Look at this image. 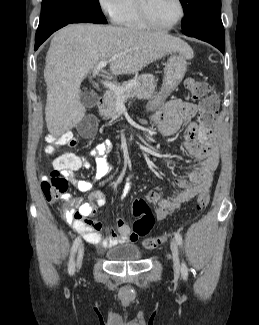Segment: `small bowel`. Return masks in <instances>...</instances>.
Segmentation results:
<instances>
[{
    "instance_id": "small-bowel-1",
    "label": "small bowel",
    "mask_w": 259,
    "mask_h": 325,
    "mask_svg": "<svg viewBox=\"0 0 259 325\" xmlns=\"http://www.w3.org/2000/svg\"><path fill=\"white\" fill-rule=\"evenodd\" d=\"M205 110L182 99H172L163 107L152 114V120L157 125L159 133L164 137L176 135L182 128L186 129L185 148L189 156L200 161V165L191 171L187 178H178L175 184L180 192L164 198L160 193L152 191L145 194V198L156 204L155 216L158 220L166 218L182 204L190 201L197 194L208 191L214 171L218 165V151L216 134L214 129L209 133L201 124L195 122V117H200ZM111 150L107 142L97 144L90 152L95 160L94 181H100L109 177L112 172V164L106 159V154ZM163 164L171 163L169 158L162 159ZM54 167L59 169L64 178L72 183L80 192L92 190V183L88 180L77 179L75 173L81 169L91 168V163L73 153H65L54 160ZM46 176L43 177V179ZM132 176L127 177L123 187V196H126L133 187ZM62 199L71 207L77 209L76 213L64 210L63 214L72 228L80 233L83 238L98 249H107L119 243H134L138 235L125 223L123 219L116 220V230L104 228L99 222L87 217L91 215L96 206L102 207L106 203V194L102 190L92 191L89 195L90 202L84 203L79 197L63 194ZM104 232V234L102 233Z\"/></svg>"
}]
</instances>
